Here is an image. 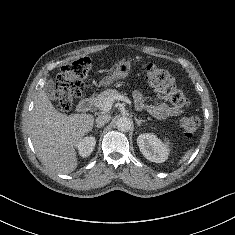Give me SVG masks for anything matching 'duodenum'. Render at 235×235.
I'll list each match as a JSON object with an SVG mask.
<instances>
[{"label":"duodenum","mask_w":235,"mask_h":235,"mask_svg":"<svg viewBox=\"0 0 235 235\" xmlns=\"http://www.w3.org/2000/svg\"><path fill=\"white\" fill-rule=\"evenodd\" d=\"M92 106H93V99L91 97H86L79 102L77 110L80 113H86L92 108Z\"/></svg>","instance_id":"obj_1"}]
</instances>
